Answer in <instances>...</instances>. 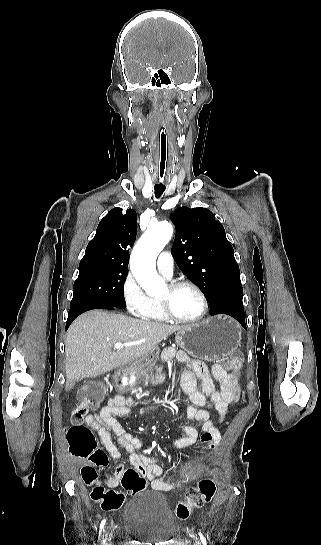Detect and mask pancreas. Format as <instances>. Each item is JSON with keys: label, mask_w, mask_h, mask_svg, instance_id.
I'll use <instances>...</instances> for the list:
<instances>
[{"label": "pancreas", "mask_w": 321, "mask_h": 545, "mask_svg": "<svg viewBox=\"0 0 321 545\" xmlns=\"http://www.w3.org/2000/svg\"><path fill=\"white\" fill-rule=\"evenodd\" d=\"M157 375H155L158 383H163L164 379H165V375H163L162 373V367H154ZM154 369H150V373L149 371H146V373H137V371H128L127 375H135L136 378H137V381H142L143 385H145V387H147L148 383H149V379H151L153 373L152 371H154Z\"/></svg>", "instance_id": "pancreas-1"}]
</instances>
